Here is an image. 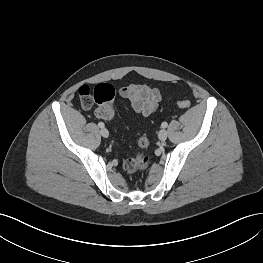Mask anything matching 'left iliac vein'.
<instances>
[{
  "label": "left iliac vein",
  "instance_id": "obj_1",
  "mask_svg": "<svg viewBox=\"0 0 263 263\" xmlns=\"http://www.w3.org/2000/svg\"><path fill=\"white\" fill-rule=\"evenodd\" d=\"M167 136H168V132L165 129L160 130L158 133V138L161 141H165L167 139Z\"/></svg>",
  "mask_w": 263,
  "mask_h": 263
}]
</instances>
